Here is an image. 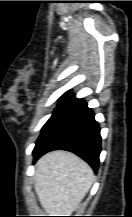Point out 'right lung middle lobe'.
Masks as SVG:
<instances>
[{
  "mask_svg": "<svg viewBox=\"0 0 132 217\" xmlns=\"http://www.w3.org/2000/svg\"><path fill=\"white\" fill-rule=\"evenodd\" d=\"M76 98H74L71 95H65L62 96L60 99V102L57 106V108L54 110L51 118L47 121V123L44 125L43 129H42V133L44 132V130L46 129V127L49 125V123L54 119V117L62 110L64 109L67 105H69L70 103H72ZM41 133V134H42Z\"/></svg>",
  "mask_w": 132,
  "mask_h": 217,
  "instance_id": "right-lung-middle-lobe-1",
  "label": "right lung middle lobe"
}]
</instances>
